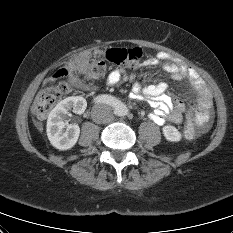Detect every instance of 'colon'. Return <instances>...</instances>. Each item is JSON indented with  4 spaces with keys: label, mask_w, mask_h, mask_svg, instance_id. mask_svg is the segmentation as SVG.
<instances>
[{
    "label": "colon",
    "mask_w": 233,
    "mask_h": 233,
    "mask_svg": "<svg viewBox=\"0 0 233 233\" xmlns=\"http://www.w3.org/2000/svg\"><path fill=\"white\" fill-rule=\"evenodd\" d=\"M142 56V50L138 47L111 48L106 52L105 58L108 62L118 66H132L139 62ZM106 71V64L103 60H94L89 65L87 71L88 79L95 81L101 78ZM68 75V70L61 68L57 70L52 78V84L39 91L36 96L33 110L38 118H44L59 99L71 91L68 82L63 79ZM188 119L184 129V137L187 139L194 138L198 130L192 124L194 112V102L188 104Z\"/></svg>",
    "instance_id": "5ec220e1"
}]
</instances>
